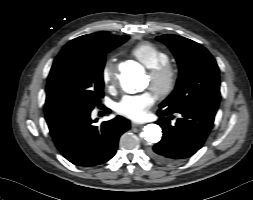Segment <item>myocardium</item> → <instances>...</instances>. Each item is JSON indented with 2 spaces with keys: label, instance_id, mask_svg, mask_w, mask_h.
<instances>
[{
  "label": "myocardium",
  "instance_id": "1",
  "mask_svg": "<svg viewBox=\"0 0 253 200\" xmlns=\"http://www.w3.org/2000/svg\"><path fill=\"white\" fill-rule=\"evenodd\" d=\"M151 88L158 97L169 96L178 82V69L170 62L161 64L148 70Z\"/></svg>",
  "mask_w": 253,
  "mask_h": 200
}]
</instances>
